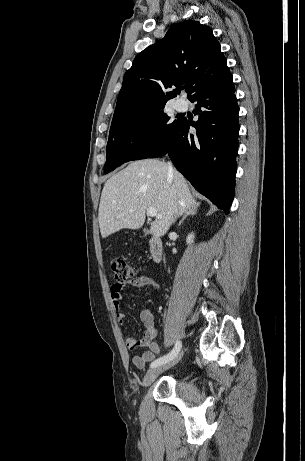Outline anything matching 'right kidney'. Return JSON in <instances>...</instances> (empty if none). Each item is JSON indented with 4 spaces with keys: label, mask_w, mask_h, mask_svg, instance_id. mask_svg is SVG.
<instances>
[{
    "label": "right kidney",
    "mask_w": 305,
    "mask_h": 461,
    "mask_svg": "<svg viewBox=\"0 0 305 461\" xmlns=\"http://www.w3.org/2000/svg\"><path fill=\"white\" fill-rule=\"evenodd\" d=\"M193 240H194V234H193V233H190V234L187 236L186 242H187V244H191V243H193Z\"/></svg>",
    "instance_id": "obj_1"
}]
</instances>
